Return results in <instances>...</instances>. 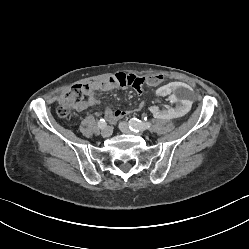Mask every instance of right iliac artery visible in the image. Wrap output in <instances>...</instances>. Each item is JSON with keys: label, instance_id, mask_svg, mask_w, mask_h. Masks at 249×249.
<instances>
[{"label": "right iliac artery", "instance_id": "82829eb1", "mask_svg": "<svg viewBox=\"0 0 249 249\" xmlns=\"http://www.w3.org/2000/svg\"><path fill=\"white\" fill-rule=\"evenodd\" d=\"M106 121L104 120V119H100L99 121H98V127L100 128V129H104L105 127H106Z\"/></svg>", "mask_w": 249, "mask_h": 249}]
</instances>
